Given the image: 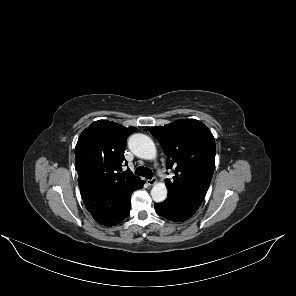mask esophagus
I'll return each instance as SVG.
<instances>
[{
	"label": "esophagus",
	"instance_id": "34e87169",
	"mask_svg": "<svg viewBox=\"0 0 296 296\" xmlns=\"http://www.w3.org/2000/svg\"><path fill=\"white\" fill-rule=\"evenodd\" d=\"M156 182H157V178H156V177H153V178L147 180V183H148V185H150V186L156 184Z\"/></svg>",
	"mask_w": 296,
	"mask_h": 296
}]
</instances>
